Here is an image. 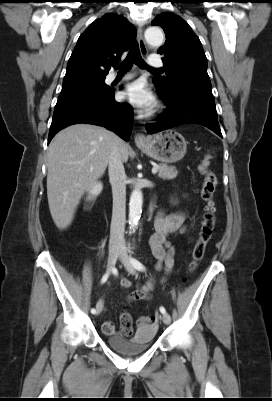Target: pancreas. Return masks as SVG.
Segmentation results:
<instances>
[{"label":"pancreas","instance_id":"pancreas-1","mask_svg":"<svg viewBox=\"0 0 272 401\" xmlns=\"http://www.w3.org/2000/svg\"><path fill=\"white\" fill-rule=\"evenodd\" d=\"M178 171L174 166H168L166 164H161L158 167V176L162 179H174L176 178Z\"/></svg>","mask_w":272,"mask_h":401}]
</instances>
